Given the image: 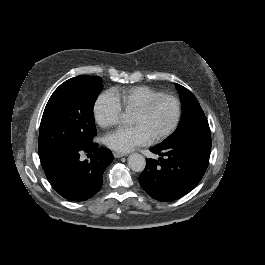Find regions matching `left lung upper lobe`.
<instances>
[{"instance_id": "left-lung-upper-lobe-1", "label": "left lung upper lobe", "mask_w": 265, "mask_h": 265, "mask_svg": "<svg viewBox=\"0 0 265 265\" xmlns=\"http://www.w3.org/2000/svg\"><path fill=\"white\" fill-rule=\"evenodd\" d=\"M180 95L182 117L176 131L161 144L173 142L194 134H209L210 128L196 97L185 87L175 84Z\"/></svg>"}]
</instances>
